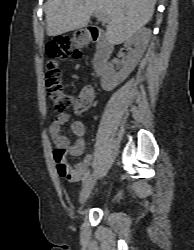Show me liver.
I'll use <instances>...</instances> for the list:
<instances>
[{"label": "liver", "mask_w": 194, "mask_h": 250, "mask_svg": "<svg viewBox=\"0 0 194 250\" xmlns=\"http://www.w3.org/2000/svg\"><path fill=\"white\" fill-rule=\"evenodd\" d=\"M156 0H48L45 4L47 35L86 27L93 13L108 19L106 38L121 44L146 25L153 16Z\"/></svg>", "instance_id": "6515ba94"}]
</instances>
